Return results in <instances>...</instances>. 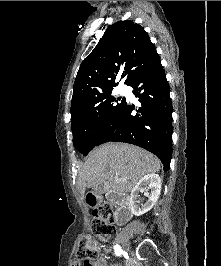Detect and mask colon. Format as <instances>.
<instances>
[{
  "instance_id": "1",
  "label": "colon",
  "mask_w": 221,
  "mask_h": 266,
  "mask_svg": "<svg viewBox=\"0 0 221 266\" xmlns=\"http://www.w3.org/2000/svg\"><path fill=\"white\" fill-rule=\"evenodd\" d=\"M93 214L91 232L81 239L78 246L77 257L80 260L95 259L99 251L97 239H105L115 233V227L110 223L113 217V207L110 203H104L97 207Z\"/></svg>"
}]
</instances>
